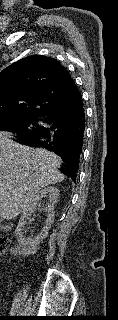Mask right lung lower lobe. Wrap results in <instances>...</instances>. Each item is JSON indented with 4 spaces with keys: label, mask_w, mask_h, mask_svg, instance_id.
<instances>
[{
    "label": "right lung lower lobe",
    "mask_w": 118,
    "mask_h": 320,
    "mask_svg": "<svg viewBox=\"0 0 118 320\" xmlns=\"http://www.w3.org/2000/svg\"><path fill=\"white\" fill-rule=\"evenodd\" d=\"M85 109L81 94L58 104L43 119L33 135L16 139L20 144L48 149L63 160L61 172L76 180L85 130Z\"/></svg>",
    "instance_id": "obj_1"
}]
</instances>
